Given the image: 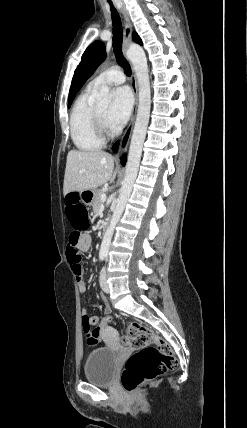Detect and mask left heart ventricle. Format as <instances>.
Returning a JSON list of instances; mask_svg holds the SVG:
<instances>
[{
    "label": "left heart ventricle",
    "mask_w": 247,
    "mask_h": 428,
    "mask_svg": "<svg viewBox=\"0 0 247 428\" xmlns=\"http://www.w3.org/2000/svg\"><path fill=\"white\" fill-rule=\"evenodd\" d=\"M97 111L100 114L101 118L106 123V114H107L108 108L107 107H98Z\"/></svg>",
    "instance_id": "1"
}]
</instances>
